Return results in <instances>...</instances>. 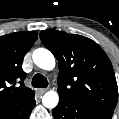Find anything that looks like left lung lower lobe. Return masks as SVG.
I'll return each mask as SVG.
<instances>
[{
	"mask_svg": "<svg viewBox=\"0 0 119 119\" xmlns=\"http://www.w3.org/2000/svg\"><path fill=\"white\" fill-rule=\"evenodd\" d=\"M113 112L95 107H83L72 100L60 98L52 113L55 119H111Z\"/></svg>",
	"mask_w": 119,
	"mask_h": 119,
	"instance_id": "1",
	"label": "left lung lower lobe"
}]
</instances>
